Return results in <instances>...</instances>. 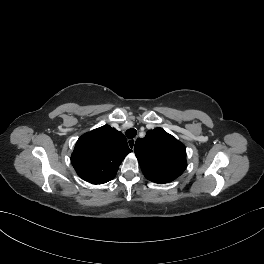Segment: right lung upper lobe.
Instances as JSON below:
<instances>
[{
	"label": "right lung upper lobe",
	"mask_w": 264,
	"mask_h": 264,
	"mask_svg": "<svg viewBox=\"0 0 264 264\" xmlns=\"http://www.w3.org/2000/svg\"><path fill=\"white\" fill-rule=\"evenodd\" d=\"M131 151L121 132L104 125L78 139L71 163L85 181L103 184L115 177L121 162Z\"/></svg>",
	"instance_id": "obj_1"
}]
</instances>
